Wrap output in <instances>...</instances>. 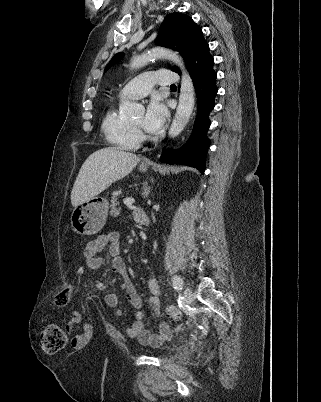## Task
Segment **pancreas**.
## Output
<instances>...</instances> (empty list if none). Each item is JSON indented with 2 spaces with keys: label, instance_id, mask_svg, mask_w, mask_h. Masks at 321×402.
<instances>
[{
  "label": "pancreas",
  "instance_id": "obj_1",
  "mask_svg": "<svg viewBox=\"0 0 321 402\" xmlns=\"http://www.w3.org/2000/svg\"><path fill=\"white\" fill-rule=\"evenodd\" d=\"M110 215L112 217H117L120 214L121 208L119 207V202L117 201V197L113 196L111 199V204H110Z\"/></svg>",
  "mask_w": 321,
  "mask_h": 402
}]
</instances>
